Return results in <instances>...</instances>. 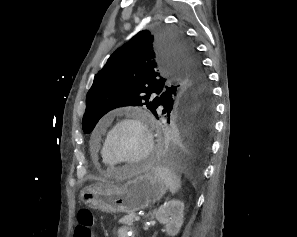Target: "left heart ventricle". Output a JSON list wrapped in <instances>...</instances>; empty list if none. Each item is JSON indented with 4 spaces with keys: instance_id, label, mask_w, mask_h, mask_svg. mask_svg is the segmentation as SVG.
Masks as SVG:
<instances>
[{
    "instance_id": "1",
    "label": "left heart ventricle",
    "mask_w": 297,
    "mask_h": 237,
    "mask_svg": "<svg viewBox=\"0 0 297 237\" xmlns=\"http://www.w3.org/2000/svg\"><path fill=\"white\" fill-rule=\"evenodd\" d=\"M146 141L142 130L135 124H124L111 137L110 150L120 159L131 160L140 157Z\"/></svg>"
}]
</instances>
